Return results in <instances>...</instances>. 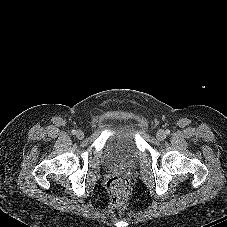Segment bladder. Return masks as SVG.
<instances>
[{"label":"bladder","instance_id":"obj_1","mask_svg":"<svg viewBox=\"0 0 227 227\" xmlns=\"http://www.w3.org/2000/svg\"><path fill=\"white\" fill-rule=\"evenodd\" d=\"M109 125L114 130L106 146L107 158L122 164L132 163L137 157L133 130L126 120H112Z\"/></svg>","mask_w":227,"mask_h":227}]
</instances>
